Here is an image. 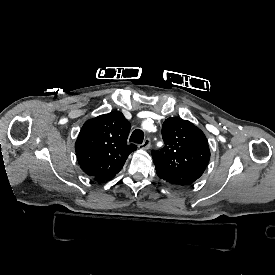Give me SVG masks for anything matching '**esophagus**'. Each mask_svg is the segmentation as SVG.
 Masks as SVG:
<instances>
[{
  "label": "esophagus",
  "mask_w": 275,
  "mask_h": 275,
  "mask_svg": "<svg viewBox=\"0 0 275 275\" xmlns=\"http://www.w3.org/2000/svg\"><path fill=\"white\" fill-rule=\"evenodd\" d=\"M138 148L141 149V150L149 149L150 148V139L146 138L145 141L138 146Z\"/></svg>",
  "instance_id": "obj_1"
}]
</instances>
